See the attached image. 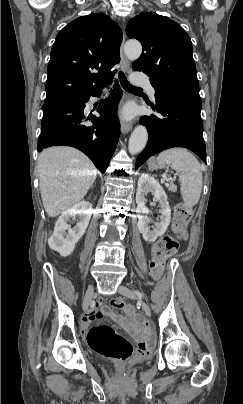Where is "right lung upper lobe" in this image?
<instances>
[{
  "instance_id": "obj_1",
  "label": "right lung upper lobe",
  "mask_w": 243,
  "mask_h": 404,
  "mask_svg": "<svg viewBox=\"0 0 243 404\" xmlns=\"http://www.w3.org/2000/svg\"><path fill=\"white\" fill-rule=\"evenodd\" d=\"M121 42L120 27L102 13L82 16L66 25L51 50L44 105L99 90L111 80V68L120 61Z\"/></svg>"
}]
</instances>
